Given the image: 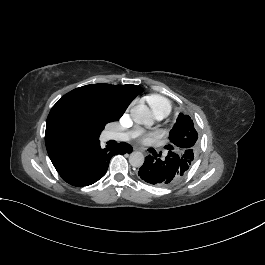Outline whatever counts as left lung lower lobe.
Segmentation results:
<instances>
[{
    "label": "left lung lower lobe",
    "instance_id": "obj_1",
    "mask_svg": "<svg viewBox=\"0 0 265 265\" xmlns=\"http://www.w3.org/2000/svg\"><path fill=\"white\" fill-rule=\"evenodd\" d=\"M140 178L155 186H168L184 176L183 164L178 155L168 153L164 160L147 156L139 169Z\"/></svg>",
    "mask_w": 265,
    "mask_h": 265
}]
</instances>
